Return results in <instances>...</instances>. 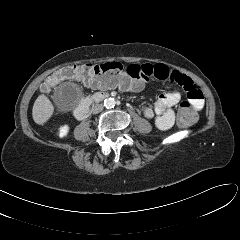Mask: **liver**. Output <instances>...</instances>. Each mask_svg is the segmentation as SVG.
Here are the masks:
<instances>
[{
	"label": "liver",
	"instance_id": "liver-1",
	"mask_svg": "<svg viewBox=\"0 0 240 240\" xmlns=\"http://www.w3.org/2000/svg\"><path fill=\"white\" fill-rule=\"evenodd\" d=\"M54 112L51 101L44 94L39 95L34 102L32 109L33 120L36 124L46 123Z\"/></svg>",
	"mask_w": 240,
	"mask_h": 240
}]
</instances>
